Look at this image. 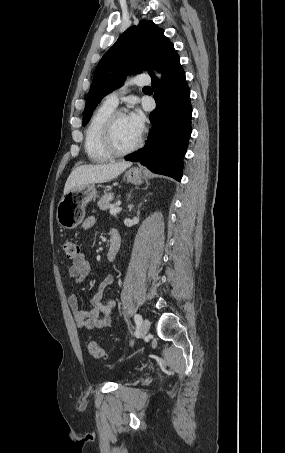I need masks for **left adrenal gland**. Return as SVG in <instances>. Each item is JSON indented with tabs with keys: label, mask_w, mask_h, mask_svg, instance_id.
<instances>
[{
	"label": "left adrenal gland",
	"mask_w": 285,
	"mask_h": 453,
	"mask_svg": "<svg viewBox=\"0 0 285 453\" xmlns=\"http://www.w3.org/2000/svg\"><path fill=\"white\" fill-rule=\"evenodd\" d=\"M133 207H134V205H129V212L132 211Z\"/></svg>",
	"instance_id": "obj_1"
}]
</instances>
